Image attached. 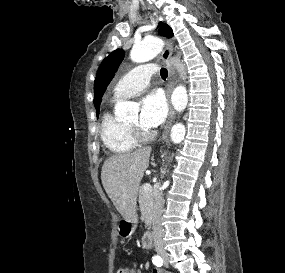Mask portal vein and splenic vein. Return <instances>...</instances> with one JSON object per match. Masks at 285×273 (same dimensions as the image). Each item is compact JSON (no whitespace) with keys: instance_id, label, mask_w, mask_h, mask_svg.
Returning a JSON list of instances; mask_svg holds the SVG:
<instances>
[{"instance_id":"portal-vein-and-splenic-vein-1","label":"portal vein and splenic vein","mask_w":285,"mask_h":273,"mask_svg":"<svg viewBox=\"0 0 285 273\" xmlns=\"http://www.w3.org/2000/svg\"><path fill=\"white\" fill-rule=\"evenodd\" d=\"M143 188H144L145 191H149L152 187H151L150 184H145V185L143 186Z\"/></svg>"}]
</instances>
